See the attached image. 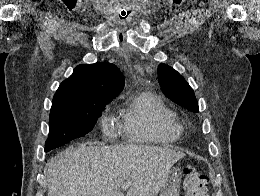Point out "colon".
Segmentation results:
<instances>
[{"instance_id": "5ec220e1", "label": "colon", "mask_w": 260, "mask_h": 196, "mask_svg": "<svg viewBox=\"0 0 260 196\" xmlns=\"http://www.w3.org/2000/svg\"><path fill=\"white\" fill-rule=\"evenodd\" d=\"M183 185L186 196H207L209 178L195 169H187L184 173Z\"/></svg>"}]
</instances>
